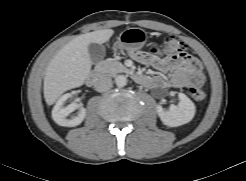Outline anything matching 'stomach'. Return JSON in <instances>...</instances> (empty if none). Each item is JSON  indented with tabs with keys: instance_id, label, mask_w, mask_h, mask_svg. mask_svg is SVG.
Returning <instances> with one entry per match:
<instances>
[{
	"instance_id": "0dacf381",
	"label": "stomach",
	"mask_w": 246,
	"mask_h": 181,
	"mask_svg": "<svg viewBox=\"0 0 246 181\" xmlns=\"http://www.w3.org/2000/svg\"><path fill=\"white\" fill-rule=\"evenodd\" d=\"M146 40L147 34L143 29L129 28L120 34L114 49L138 50L144 46Z\"/></svg>"
}]
</instances>
